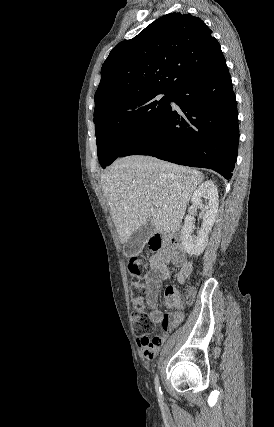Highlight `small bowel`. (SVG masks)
Listing matches in <instances>:
<instances>
[{
    "instance_id": "c3829d8e",
    "label": "small bowel",
    "mask_w": 274,
    "mask_h": 427,
    "mask_svg": "<svg viewBox=\"0 0 274 427\" xmlns=\"http://www.w3.org/2000/svg\"><path fill=\"white\" fill-rule=\"evenodd\" d=\"M169 264H173L178 269L177 279L179 283H184L194 268V264L188 259L183 245H178L176 241L156 248V251L150 257V270L144 274V302L149 309V318L160 325L161 333L153 337L145 335L139 338L142 355L147 360H152L156 357L175 322L174 314H163L156 308L162 282L167 280L171 274ZM173 297L166 296V306L168 308L174 306Z\"/></svg>"
}]
</instances>
